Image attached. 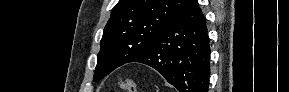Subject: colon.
I'll use <instances>...</instances> for the list:
<instances>
[{"label":"colon","instance_id":"5ec220e1","mask_svg":"<svg viewBox=\"0 0 289 92\" xmlns=\"http://www.w3.org/2000/svg\"><path fill=\"white\" fill-rule=\"evenodd\" d=\"M119 86L126 92H137V85L133 80L127 79L119 82Z\"/></svg>","mask_w":289,"mask_h":92}]
</instances>
